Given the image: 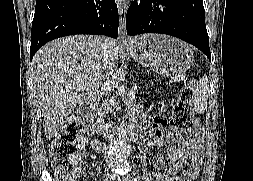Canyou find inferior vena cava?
<instances>
[{"mask_svg":"<svg viewBox=\"0 0 253 181\" xmlns=\"http://www.w3.org/2000/svg\"><path fill=\"white\" fill-rule=\"evenodd\" d=\"M111 48L112 47H111L110 41L105 39L102 44V49H103L102 58H103V62H104L105 70H106V75H107L106 81L104 82V85H103V87L106 91L110 90V88L113 84V82L109 79V76L113 72V70L111 71L110 64H109Z\"/></svg>","mask_w":253,"mask_h":181,"instance_id":"602c4592","label":"inferior vena cava"}]
</instances>
